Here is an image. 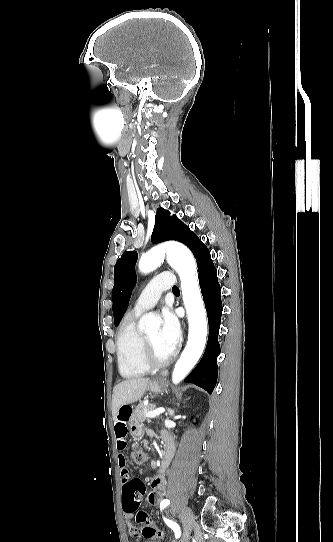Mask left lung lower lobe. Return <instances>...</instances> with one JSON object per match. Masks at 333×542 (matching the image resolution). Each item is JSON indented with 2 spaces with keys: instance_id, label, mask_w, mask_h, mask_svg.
I'll return each mask as SVG.
<instances>
[{
  "instance_id": "left-lung-lower-lobe-1",
  "label": "left lung lower lobe",
  "mask_w": 333,
  "mask_h": 542,
  "mask_svg": "<svg viewBox=\"0 0 333 542\" xmlns=\"http://www.w3.org/2000/svg\"><path fill=\"white\" fill-rule=\"evenodd\" d=\"M195 258L198 266L200 288L208 316L209 337L202 359L186 377L185 382L193 383L208 393H212L217 380L216 361L220 354V346L217 338L223 310L221 288L210 252L204 244L198 249Z\"/></svg>"
}]
</instances>
